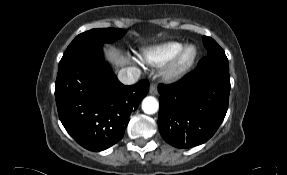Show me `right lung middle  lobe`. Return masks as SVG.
<instances>
[{
    "mask_svg": "<svg viewBox=\"0 0 287 175\" xmlns=\"http://www.w3.org/2000/svg\"><path fill=\"white\" fill-rule=\"evenodd\" d=\"M125 33L123 29L100 28L92 29L79 34L67 47L61 60L68 58L86 48L92 46H102L105 42H113L122 37Z\"/></svg>",
    "mask_w": 287,
    "mask_h": 175,
    "instance_id": "dd1d6c3e",
    "label": "right lung middle lobe"
}]
</instances>
